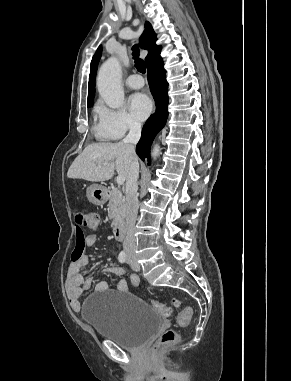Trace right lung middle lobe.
Instances as JSON below:
<instances>
[{
    "label": "right lung middle lobe",
    "mask_w": 291,
    "mask_h": 381,
    "mask_svg": "<svg viewBox=\"0 0 291 381\" xmlns=\"http://www.w3.org/2000/svg\"><path fill=\"white\" fill-rule=\"evenodd\" d=\"M92 105H93V103H91V104H88V107H92Z\"/></svg>",
    "instance_id": "1"
}]
</instances>
